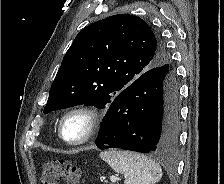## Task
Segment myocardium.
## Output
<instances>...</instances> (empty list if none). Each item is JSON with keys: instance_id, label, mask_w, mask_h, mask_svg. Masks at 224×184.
<instances>
[{"instance_id": "f54148a6", "label": "myocardium", "mask_w": 224, "mask_h": 184, "mask_svg": "<svg viewBox=\"0 0 224 184\" xmlns=\"http://www.w3.org/2000/svg\"><path fill=\"white\" fill-rule=\"evenodd\" d=\"M73 115H83L87 119L85 134L78 140L67 139L63 134V126L66 120ZM102 123V114L98 108L91 105H77L68 109L61 117L58 125V134L61 140L69 146H80L89 142L98 132Z\"/></svg>"}]
</instances>
